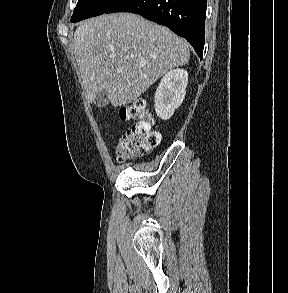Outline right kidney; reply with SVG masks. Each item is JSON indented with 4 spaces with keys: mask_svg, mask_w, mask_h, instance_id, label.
<instances>
[{
    "mask_svg": "<svg viewBox=\"0 0 288 293\" xmlns=\"http://www.w3.org/2000/svg\"><path fill=\"white\" fill-rule=\"evenodd\" d=\"M187 83L188 72L184 69L171 70L162 77L154 97L155 111L159 118L169 119L182 104Z\"/></svg>",
    "mask_w": 288,
    "mask_h": 293,
    "instance_id": "1",
    "label": "right kidney"
}]
</instances>
